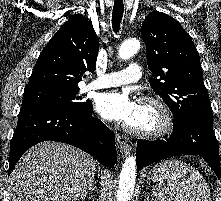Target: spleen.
Here are the masks:
<instances>
[{
    "label": "spleen",
    "mask_w": 221,
    "mask_h": 201,
    "mask_svg": "<svg viewBox=\"0 0 221 201\" xmlns=\"http://www.w3.org/2000/svg\"><path fill=\"white\" fill-rule=\"evenodd\" d=\"M155 169L168 180L167 187L159 184L153 189L159 201H211L206 181L193 166L168 159L158 163Z\"/></svg>",
    "instance_id": "obj_1"
}]
</instances>
